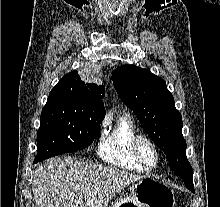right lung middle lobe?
I'll list each match as a JSON object with an SVG mask.
<instances>
[{
    "label": "right lung middle lobe",
    "instance_id": "obj_1",
    "mask_svg": "<svg viewBox=\"0 0 220 207\" xmlns=\"http://www.w3.org/2000/svg\"><path fill=\"white\" fill-rule=\"evenodd\" d=\"M103 119L79 100L49 96L41 112L34 162L87 147L98 135Z\"/></svg>",
    "mask_w": 220,
    "mask_h": 207
}]
</instances>
